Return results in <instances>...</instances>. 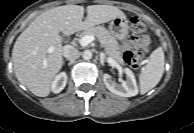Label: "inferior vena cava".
Wrapping results in <instances>:
<instances>
[{
    "mask_svg": "<svg viewBox=\"0 0 194 133\" xmlns=\"http://www.w3.org/2000/svg\"><path fill=\"white\" fill-rule=\"evenodd\" d=\"M63 56L67 59L75 60L79 58L80 52L71 45L64 46Z\"/></svg>",
    "mask_w": 194,
    "mask_h": 133,
    "instance_id": "inferior-vena-cava-1",
    "label": "inferior vena cava"
}]
</instances>
